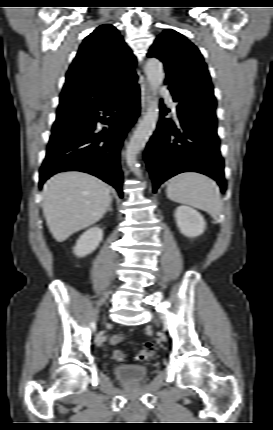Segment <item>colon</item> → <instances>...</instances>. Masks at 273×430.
<instances>
[{
	"mask_svg": "<svg viewBox=\"0 0 273 430\" xmlns=\"http://www.w3.org/2000/svg\"><path fill=\"white\" fill-rule=\"evenodd\" d=\"M124 339H125V334L118 333L113 335L110 338V343L112 345H117L121 343ZM154 353H155L154 346L151 344H146L138 351L135 358L136 360H139V361H145L150 359L154 355ZM113 358L117 361H121L124 358V353L121 350H115L113 352Z\"/></svg>",
	"mask_w": 273,
	"mask_h": 430,
	"instance_id": "5ec220e1",
	"label": "colon"
}]
</instances>
